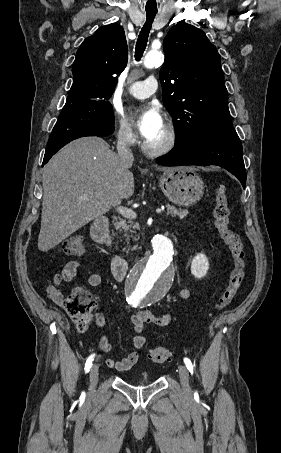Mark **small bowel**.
Here are the masks:
<instances>
[{"mask_svg":"<svg viewBox=\"0 0 281 453\" xmlns=\"http://www.w3.org/2000/svg\"><path fill=\"white\" fill-rule=\"evenodd\" d=\"M80 267L78 260L69 261L65 267L55 274L52 279L46 278L45 290L47 295L52 299L54 303L60 307L66 308L68 305V299L60 290V285L63 282H69L76 277L77 270ZM87 281L91 286H99L101 284V276L97 272H87ZM191 293L189 290L184 289L180 293L181 300L189 299ZM91 319H95L97 324L102 326L104 324V315L101 311H95L91 316ZM171 320V313L167 312L161 316H153L147 310H141L137 312L132 322L135 326L137 334L134 336L132 341V347L134 350L141 349L145 343V339L141 334L143 326L145 324H151L154 326H165ZM97 347L101 353H109L111 350V344L106 336H102L98 342ZM138 360V354L135 351H131L127 356L122 359L110 358L106 360V364L110 369L115 370H128L132 368Z\"/></svg>","mask_w":281,"mask_h":453,"instance_id":"small-bowel-1","label":"small bowel"}]
</instances>
